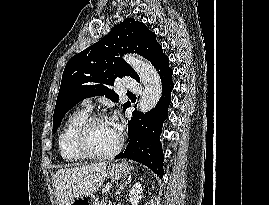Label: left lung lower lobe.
Here are the masks:
<instances>
[{
  "instance_id": "0a47b994",
  "label": "left lung lower lobe",
  "mask_w": 269,
  "mask_h": 205,
  "mask_svg": "<svg viewBox=\"0 0 269 205\" xmlns=\"http://www.w3.org/2000/svg\"><path fill=\"white\" fill-rule=\"evenodd\" d=\"M155 68L162 81V96L151 111L133 113V118L128 123L129 143L126 150L119 153L115 159L126 158L142 163L162 178L164 155L159 139L163 122L168 116L174 84L173 71L166 55Z\"/></svg>"
}]
</instances>
